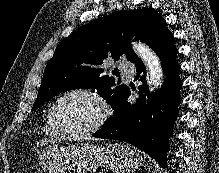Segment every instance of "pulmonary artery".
Segmentation results:
<instances>
[{
	"label": "pulmonary artery",
	"mask_w": 219,
	"mask_h": 173,
	"mask_svg": "<svg viewBox=\"0 0 219 173\" xmlns=\"http://www.w3.org/2000/svg\"><path fill=\"white\" fill-rule=\"evenodd\" d=\"M118 65L121 72L126 76H129L134 71V67L130 62L120 61Z\"/></svg>",
	"instance_id": "e3ab8cb5"
}]
</instances>
